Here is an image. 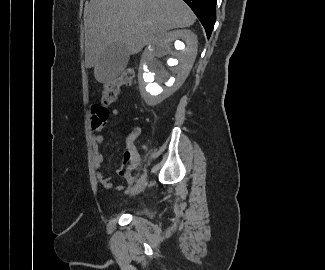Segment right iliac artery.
I'll list each match as a JSON object with an SVG mask.
<instances>
[{"mask_svg": "<svg viewBox=\"0 0 325 270\" xmlns=\"http://www.w3.org/2000/svg\"><path fill=\"white\" fill-rule=\"evenodd\" d=\"M146 175H147V173H146V170H145L144 173L142 174V176L137 180V184L140 183L141 181L145 180Z\"/></svg>", "mask_w": 325, "mask_h": 270, "instance_id": "right-iliac-artery-1", "label": "right iliac artery"}]
</instances>
